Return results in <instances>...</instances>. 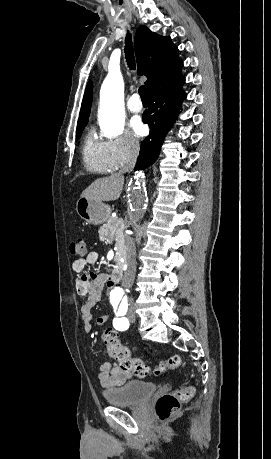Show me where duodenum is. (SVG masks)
I'll return each mask as SVG.
<instances>
[{"label": "duodenum", "mask_w": 271, "mask_h": 459, "mask_svg": "<svg viewBox=\"0 0 271 459\" xmlns=\"http://www.w3.org/2000/svg\"><path fill=\"white\" fill-rule=\"evenodd\" d=\"M122 277H123V266L121 264H117L111 275H110V283L111 284H118L121 280H122Z\"/></svg>", "instance_id": "1"}]
</instances>
